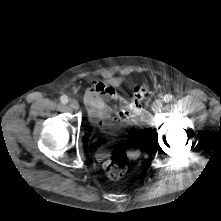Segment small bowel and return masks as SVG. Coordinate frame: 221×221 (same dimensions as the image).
I'll list each match as a JSON object with an SVG mask.
<instances>
[{
  "mask_svg": "<svg viewBox=\"0 0 221 221\" xmlns=\"http://www.w3.org/2000/svg\"><path fill=\"white\" fill-rule=\"evenodd\" d=\"M118 96L115 90L104 83H93L85 92L84 100L90 118L103 129L122 128L136 121V113L129 110V104L122 101L119 110L113 111L109 102Z\"/></svg>",
  "mask_w": 221,
  "mask_h": 221,
  "instance_id": "1",
  "label": "small bowel"
}]
</instances>
